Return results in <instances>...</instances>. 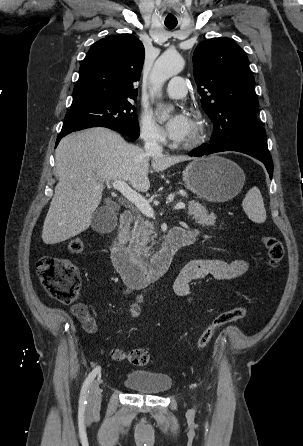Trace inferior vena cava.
<instances>
[{
  "label": "inferior vena cava",
  "instance_id": "602c4592",
  "mask_svg": "<svg viewBox=\"0 0 303 446\" xmlns=\"http://www.w3.org/2000/svg\"><path fill=\"white\" fill-rule=\"evenodd\" d=\"M144 149L148 155H161L163 151L155 138L146 139Z\"/></svg>",
  "mask_w": 303,
  "mask_h": 446
}]
</instances>
